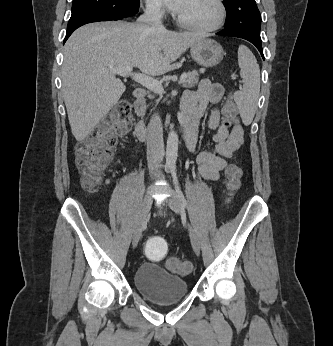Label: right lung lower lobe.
Here are the masks:
<instances>
[{"label": "right lung lower lobe", "mask_w": 333, "mask_h": 346, "mask_svg": "<svg viewBox=\"0 0 333 346\" xmlns=\"http://www.w3.org/2000/svg\"><path fill=\"white\" fill-rule=\"evenodd\" d=\"M134 15L132 16H128V17H107V16H89V17H85L81 20H79L78 22H76L75 24H73L72 26L67 27V32H66V36L64 39V43L66 42V40L69 38V36L80 26L85 25L87 23H92V22H99V21H111V20H126L129 18H132Z\"/></svg>", "instance_id": "obj_1"}]
</instances>
